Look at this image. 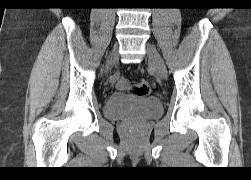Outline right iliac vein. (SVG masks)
<instances>
[{
	"mask_svg": "<svg viewBox=\"0 0 251 180\" xmlns=\"http://www.w3.org/2000/svg\"><path fill=\"white\" fill-rule=\"evenodd\" d=\"M116 56V51L113 50L112 53L110 54L109 61H108V67L112 66Z\"/></svg>",
	"mask_w": 251,
	"mask_h": 180,
	"instance_id": "63e3f726",
	"label": "right iliac vein"
}]
</instances>
